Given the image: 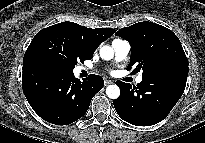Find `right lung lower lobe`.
I'll return each mask as SVG.
<instances>
[{
  "label": "right lung lower lobe",
  "instance_id": "obj_1",
  "mask_svg": "<svg viewBox=\"0 0 205 143\" xmlns=\"http://www.w3.org/2000/svg\"><path fill=\"white\" fill-rule=\"evenodd\" d=\"M104 86L99 75L80 81L71 70L48 60L23 59L22 88L32 109L45 121L68 125L81 118Z\"/></svg>",
  "mask_w": 205,
  "mask_h": 143
}]
</instances>
